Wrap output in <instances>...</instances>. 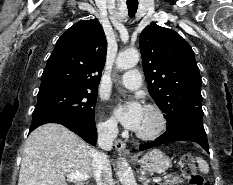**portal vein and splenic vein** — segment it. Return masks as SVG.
Returning a JSON list of instances; mask_svg holds the SVG:
<instances>
[{
	"instance_id": "18ae733b",
	"label": "portal vein and splenic vein",
	"mask_w": 233,
	"mask_h": 185,
	"mask_svg": "<svg viewBox=\"0 0 233 185\" xmlns=\"http://www.w3.org/2000/svg\"><path fill=\"white\" fill-rule=\"evenodd\" d=\"M66 176L70 181H85L89 178L87 175L80 173H71V174H67ZM162 180H163L162 178L158 177V178H153L152 181L155 183H159Z\"/></svg>"
}]
</instances>
